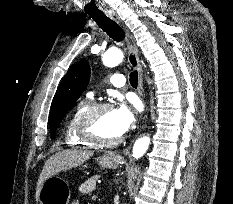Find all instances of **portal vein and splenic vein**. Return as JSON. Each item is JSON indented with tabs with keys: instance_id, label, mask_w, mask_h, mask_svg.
Listing matches in <instances>:
<instances>
[{
	"instance_id": "1",
	"label": "portal vein and splenic vein",
	"mask_w": 233,
	"mask_h": 204,
	"mask_svg": "<svg viewBox=\"0 0 233 204\" xmlns=\"http://www.w3.org/2000/svg\"><path fill=\"white\" fill-rule=\"evenodd\" d=\"M95 199H96V196H95V195H93V196H92V200H95Z\"/></svg>"
}]
</instances>
